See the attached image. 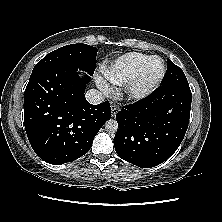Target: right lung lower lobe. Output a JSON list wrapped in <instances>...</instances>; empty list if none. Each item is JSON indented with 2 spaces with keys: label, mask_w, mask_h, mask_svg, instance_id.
Wrapping results in <instances>:
<instances>
[{
  "label": "right lung lower lobe",
  "mask_w": 222,
  "mask_h": 222,
  "mask_svg": "<svg viewBox=\"0 0 222 222\" xmlns=\"http://www.w3.org/2000/svg\"><path fill=\"white\" fill-rule=\"evenodd\" d=\"M77 68L54 66L31 74L24 95V124L35 153L59 165L86 154L111 117L108 101L90 104L84 95L90 80ZM91 75V74H90Z\"/></svg>",
  "instance_id": "obj_1"
}]
</instances>
